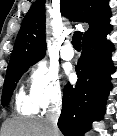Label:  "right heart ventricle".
<instances>
[{"instance_id": "right-heart-ventricle-1", "label": "right heart ventricle", "mask_w": 117, "mask_h": 136, "mask_svg": "<svg viewBox=\"0 0 117 136\" xmlns=\"http://www.w3.org/2000/svg\"><path fill=\"white\" fill-rule=\"evenodd\" d=\"M16 109L24 115H32L38 111V107L31 101V99L25 97L22 91L16 98Z\"/></svg>"}]
</instances>
